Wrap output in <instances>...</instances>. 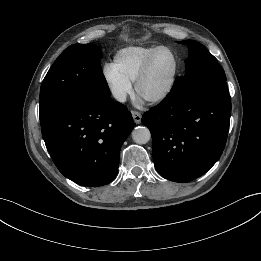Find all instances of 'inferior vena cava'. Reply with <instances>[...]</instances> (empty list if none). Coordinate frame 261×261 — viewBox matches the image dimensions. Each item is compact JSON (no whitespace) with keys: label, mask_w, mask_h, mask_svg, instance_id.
I'll list each match as a JSON object with an SVG mask.
<instances>
[{"label":"inferior vena cava","mask_w":261,"mask_h":261,"mask_svg":"<svg viewBox=\"0 0 261 261\" xmlns=\"http://www.w3.org/2000/svg\"><path fill=\"white\" fill-rule=\"evenodd\" d=\"M113 96L120 102H124L126 100V93L121 90L113 91Z\"/></svg>","instance_id":"obj_1"}]
</instances>
